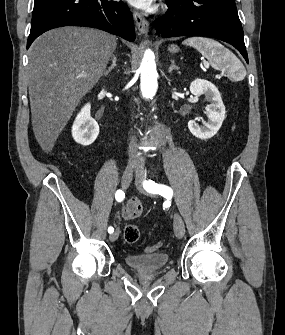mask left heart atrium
I'll return each mask as SVG.
<instances>
[{
	"label": "left heart atrium",
	"mask_w": 285,
	"mask_h": 335,
	"mask_svg": "<svg viewBox=\"0 0 285 335\" xmlns=\"http://www.w3.org/2000/svg\"><path fill=\"white\" fill-rule=\"evenodd\" d=\"M130 4H132V5H134V6H136V7H138V8H143V9H145V8H148V7H150V5H151V3L153 2V1H128Z\"/></svg>",
	"instance_id": "39dd6f15"
}]
</instances>
